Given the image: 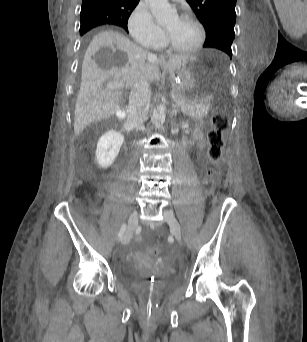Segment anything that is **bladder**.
<instances>
[{
  "instance_id": "bladder-1",
  "label": "bladder",
  "mask_w": 307,
  "mask_h": 342,
  "mask_svg": "<svg viewBox=\"0 0 307 342\" xmlns=\"http://www.w3.org/2000/svg\"><path fill=\"white\" fill-rule=\"evenodd\" d=\"M120 280L123 284L138 293L149 291L153 285L155 292L159 295L167 292L177 282L176 277H170L169 279L152 284L149 273L133 265H127L122 269Z\"/></svg>"
}]
</instances>
